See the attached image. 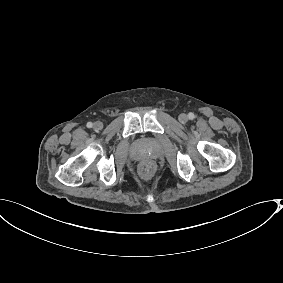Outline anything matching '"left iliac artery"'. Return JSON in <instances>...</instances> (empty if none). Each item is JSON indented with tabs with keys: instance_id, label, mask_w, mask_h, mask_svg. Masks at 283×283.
Instances as JSON below:
<instances>
[{
	"instance_id": "left-iliac-artery-1",
	"label": "left iliac artery",
	"mask_w": 283,
	"mask_h": 283,
	"mask_svg": "<svg viewBox=\"0 0 283 283\" xmlns=\"http://www.w3.org/2000/svg\"><path fill=\"white\" fill-rule=\"evenodd\" d=\"M188 118H189L190 120H193V119L195 118L194 113L190 112V113L188 114Z\"/></svg>"
}]
</instances>
